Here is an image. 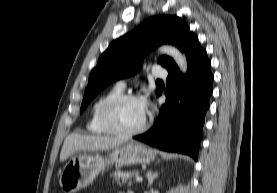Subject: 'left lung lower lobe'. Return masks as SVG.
I'll use <instances>...</instances> for the list:
<instances>
[{
    "mask_svg": "<svg viewBox=\"0 0 277 193\" xmlns=\"http://www.w3.org/2000/svg\"><path fill=\"white\" fill-rule=\"evenodd\" d=\"M184 52L188 61L187 74L182 75L176 64L167 69L166 103L162 105L155 125L134 139L197 159L213 75L206 50L200 46L197 37L188 42Z\"/></svg>",
    "mask_w": 277,
    "mask_h": 193,
    "instance_id": "left-lung-lower-lobe-1",
    "label": "left lung lower lobe"
}]
</instances>
